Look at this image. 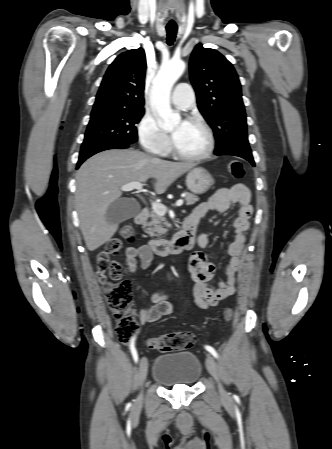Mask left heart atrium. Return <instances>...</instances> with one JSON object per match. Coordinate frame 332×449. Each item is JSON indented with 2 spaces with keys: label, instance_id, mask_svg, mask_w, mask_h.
Masks as SVG:
<instances>
[{
  "label": "left heart atrium",
  "instance_id": "left-heart-atrium-1",
  "mask_svg": "<svg viewBox=\"0 0 332 449\" xmlns=\"http://www.w3.org/2000/svg\"><path fill=\"white\" fill-rule=\"evenodd\" d=\"M186 125V122H182L179 129L176 130L173 134H172V139L173 141L177 138L179 131Z\"/></svg>",
  "mask_w": 332,
  "mask_h": 449
}]
</instances>
